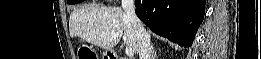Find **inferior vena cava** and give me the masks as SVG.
Returning a JSON list of instances; mask_svg holds the SVG:
<instances>
[{"label":"inferior vena cava","instance_id":"inferior-vena-cava-1","mask_svg":"<svg viewBox=\"0 0 261 59\" xmlns=\"http://www.w3.org/2000/svg\"><path fill=\"white\" fill-rule=\"evenodd\" d=\"M122 8L125 12L127 19L130 21L138 41L139 58L151 59L152 46L150 41V35L144 28L142 22L135 13V1L134 0H122Z\"/></svg>","mask_w":261,"mask_h":59}]
</instances>
